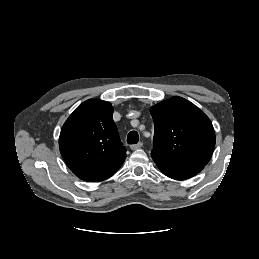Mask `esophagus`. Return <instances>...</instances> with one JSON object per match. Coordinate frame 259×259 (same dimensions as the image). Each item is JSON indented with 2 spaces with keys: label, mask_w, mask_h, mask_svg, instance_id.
<instances>
[{
  "label": "esophagus",
  "mask_w": 259,
  "mask_h": 259,
  "mask_svg": "<svg viewBox=\"0 0 259 259\" xmlns=\"http://www.w3.org/2000/svg\"><path fill=\"white\" fill-rule=\"evenodd\" d=\"M143 146V143L142 142H139L137 144H133L130 146L131 150H136V149H139Z\"/></svg>",
  "instance_id": "1"
}]
</instances>
